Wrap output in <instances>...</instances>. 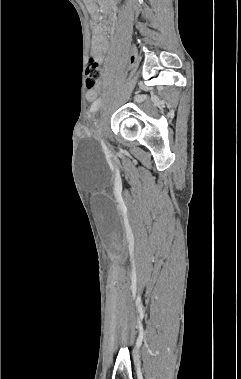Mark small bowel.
<instances>
[{
	"mask_svg": "<svg viewBox=\"0 0 241 379\" xmlns=\"http://www.w3.org/2000/svg\"><path fill=\"white\" fill-rule=\"evenodd\" d=\"M108 48V43L104 36V31L100 26H95L94 34L92 38V54L95 60L103 62L105 58V52ZM97 96L95 89H89L86 97L90 102H97Z\"/></svg>",
	"mask_w": 241,
	"mask_h": 379,
	"instance_id": "small-bowel-1",
	"label": "small bowel"
}]
</instances>
